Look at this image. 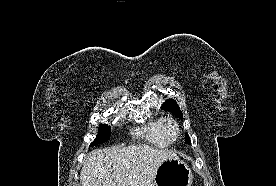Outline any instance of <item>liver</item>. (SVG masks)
I'll use <instances>...</instances> for the list:
<instances>
[{
  "mask_svg": "<svg viewBox=\"0 0 276 186\" xmlns=\"http://www.w3.org/2000/svg\"><path fill=\"white\" fill-rule=\"evenodd\" d=\"M174 151L149 145H131L95 150L80 174L81 186H153L157 169Z\"/></svg>",
  "mask_w": 276,
  "mask_h": 186,
  "instance_id": "6515ba94",
  "label": "liver"
}]
</instances>
